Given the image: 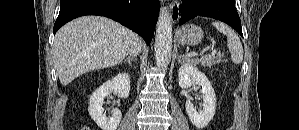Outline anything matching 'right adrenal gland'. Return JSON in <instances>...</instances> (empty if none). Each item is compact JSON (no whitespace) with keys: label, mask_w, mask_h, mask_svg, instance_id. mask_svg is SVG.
Returning <instances> with one entry per match:
<instances>
[{"label":"right adrenal gland","mask_w":299,"mask_h":130,"mask_svg":"<svg viewBox=\"0 0 299 130\" xmlns=\"http://www.w3.org/2000/svg\"><path fill=\"white\" fill-rule=\"evenodd\" d=\"M132 60H134L133 57L127 56L126 60H124V62H128L129 65H132Z\"/></svg>","instance_id":"1"}]
</instances>
